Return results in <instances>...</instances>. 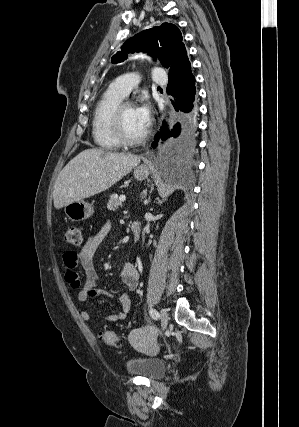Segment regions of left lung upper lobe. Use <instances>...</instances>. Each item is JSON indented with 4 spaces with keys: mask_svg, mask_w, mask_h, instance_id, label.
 Segmentation results:
<instances>
[{
    "mask_svg": "<svg viewBox=\"0 0 299 427\" xmlns=\"http://www.w3.org/2000/svg\"><path fill=\"white\" fill-rule=\"evenodd\" d=\"M182 44V34L179 28L171 23H163L136 34L127 40L121 51L112 57L113 63L122 62L128 53L134 51L148 52L154 58H159L165 67H169Z\"/></svg>",
    "mask_w": 299,
    "mask_h": 427,
    "instance_id": "1",
    "label": "left lung upper lobe"
}]
</instances>
